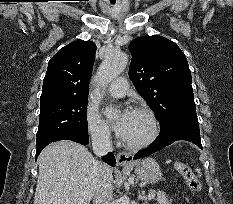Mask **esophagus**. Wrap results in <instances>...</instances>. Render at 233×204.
Returning a JSON list of instances; mask_svg holds the SVG:
<instances>
[{"mask_svg": "<svg viewBox=\"0 0 233 204\" xmlns=\"http://www.w3.org/2000/svg\"><path fill=\"white\" fill-rule=\"evenodd\" d=\"M116 161L120 166H129L133 162V156L127 152H119L116 156Z\"/></svg>", "mask_w": 233, "mask_h": 204, "instance_id": "obj_1", "label": "esophagus"}]
</instances>
